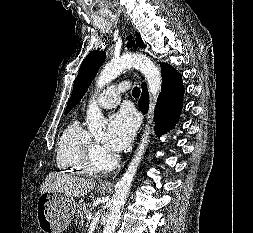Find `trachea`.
I'll return each instance as SVG.
<instances>
[{"label": "trachea", "instance_id": "3493384b", "mask_svg": "<svg viewBox=\"0 0 253 233\" xmlns=\"http://www.w3.org/2000/svg\"><path fill=\"white\" fill-rule=\"evenodd\" d=\"M132 95L133 96H139L140 95V89L137 86L133 88Z\"/></svg>", "mask_w": 253, "mask_h": 233}]
</instances>
